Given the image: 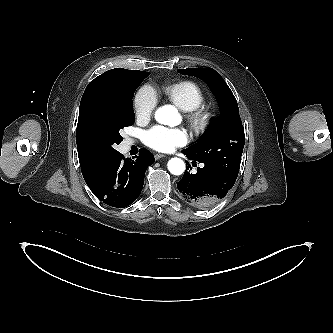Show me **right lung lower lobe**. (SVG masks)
Wrapping results in <instances>:
<instances>
[{
	"label": "right lung lower lobe",
	"instance_id": "obj_1",
	"mask_svg": "<svg viewBox=\"0 0 333 333\" xmlns=\"http://www.w3.org/2000/svg\"><path fill=\"white\" fill-rule=\"evenodd\" d=\"M134 158H124L118 152L100 173L87 183L100 201L112 207L124 208L137 199L143 188L146 169L155 159L146 149H141Z\"/></svg>",
	"mask_w": 333,
	"mask_h": 333
}]
</instances>
